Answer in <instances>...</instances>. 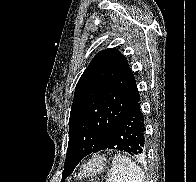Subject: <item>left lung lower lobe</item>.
Returning a JSON list of instances; mask_svg holds the SVG:
<instances>
[{
	"mask_svg": "<svg viewBox=\"0 0 196 182\" xmlns=\"http://www.w3.org/2000/svg\"><path fill=\"white\" fill-rule=\"evenodd\" d=\"M144 132L143 113L140 108V98H138L91 153L114 149L127 152L132 156L141 157L145 153ZM91 153L74 147L66 156V161L75 162L74 165H76Z\"/></svg>",
	"mask_w": 196,
	"mask_h": 182,
	"instance_id": "left-lung-lower-lobe-1",
	"label": "left lung lower lobe"
}]
</instances>
